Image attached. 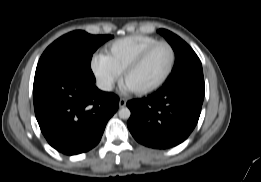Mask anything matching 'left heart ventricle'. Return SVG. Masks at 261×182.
Here are the masks:
<instances>
[{"label": "left heart ventricle", "instance_id": "obj_1", "mask_svg": "<svg viewBox=\"0 0 261 182\" xmlns=\"http://www.w3.org/2000/svg\"><path fill=\"white\" fill-rule=\"evenodd\" d=\"M171 61V51L166 46L154 50L146 61L126 81L131 90H140L155 84L168 69Z\"/></svg>", "mask_w": 261, "mask_h": 182}]
</instances>
